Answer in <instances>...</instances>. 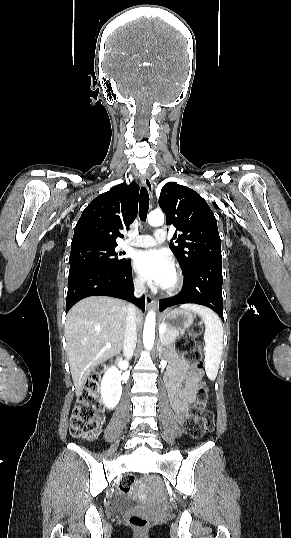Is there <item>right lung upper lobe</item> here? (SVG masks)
Masks as SVG:
<instances>
[{
  "label": "right lung upper lobe",
  "instance_id": "1",
  "mask_svg": "<svg viewBox=\"0 0 291 538\" xmlns=\"http://www.w3.org/2000/svg\"><path fill=\"white\" fill-rule=\"evenodd\" d=\"M139 185L119 184L100 194L85 208L79 218L71 249L89 245H117L119 232L128 229L138 211Z\"/></svg>",
  "mask_w": 291,
  "mask_h": 538
}]
</instances>
